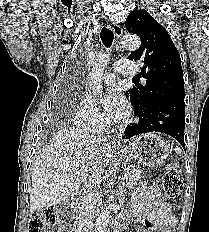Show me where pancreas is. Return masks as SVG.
Segmentation results:
<instances>
[{"instance_id": "obj_1", "label": "pancreas", "mask_w": 209, "mask_h": 232, "mask_svg": "<svg viewBox=\"0 0 209 232\" xmlns=\"http://www.w3.org/2000/svg\"><path fill=\"white\" fill-rule=\"evenodd\" d=\"M127 187L133 189L137 186L138 181L141 178V172L138 167H131L127 169Z\"/></svg>"}]
</instances>
